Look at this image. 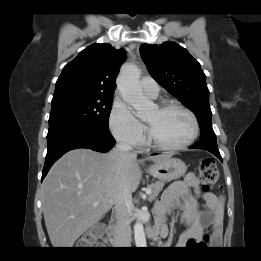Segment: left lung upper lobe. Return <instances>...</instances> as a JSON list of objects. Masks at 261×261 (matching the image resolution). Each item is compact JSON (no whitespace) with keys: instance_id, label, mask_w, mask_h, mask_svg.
<instances>
[{"instance_id":"5c2ea615","label":"left lung upper lobe","mask_w":261,"mask_h":261,"mask_svg":"<svg viewBox=\"0 0 261 261\" xmlns=\"http://www.w3.org/2000/svg\"><path fill=\"white\" fill-rule=\"evenodd\" d=\"M140 53L151 76L196 115L200 139L216 138L211 123L206 76L200 64L186 49L174 42L143 44Z\"/></svg>"}]
</instances>
